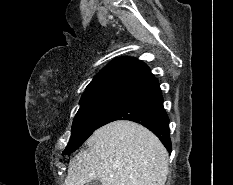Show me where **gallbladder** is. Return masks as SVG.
<instances>
[{"instance_id":"1","label":"gallbladder","mask_w":233,"mask_h":185,"mask_svg":"<svg viewBox=\"0 0 233 185\" xmlns=\"http://www.w3.org/2000/svg\"><path fill=\"white\" fill-rule=\"evenodd\" d=\"M86 185H102L99 179L92 180L91 182L87 183Z\"/></svg>"}]
</instances>
